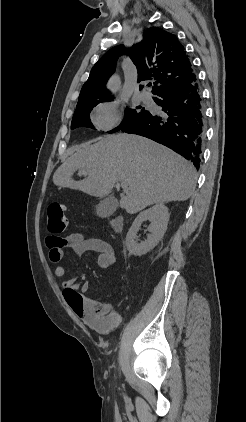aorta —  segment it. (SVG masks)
<instances>
[{
	"instance_id": "obj_1",
	"label": "aorta",
	"mask_w": 246,
	"mask_h": 422,
	"mask_svg": "<svg viewBox=\"0 0 246 422\" xmlns=\"http://www.w3.org/2000/svg\"><path fill=\"white\" fill-rule=\"evenodd\" d=\"M120 87V79L118 76H113L109 83H108V88L112 91V92H116Z\"/></svg>"
}]
</instances>
